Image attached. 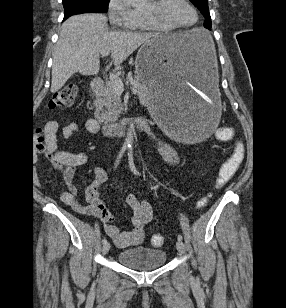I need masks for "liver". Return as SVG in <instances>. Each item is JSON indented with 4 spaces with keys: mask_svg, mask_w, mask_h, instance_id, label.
Returning a JSON list of instances; mask_svg holds the SVG:
<instances>
[{
    "mask_svg": "<svg viewBox=\"0 0 286 308\" xmlns=\"http://www.w3.org/2000/svg\"><path fill=\"white\" fill-rule=\"evenodd\" d=\"M167 36L185 41L183 32L173 34L108 31L107 17L102 14H80L69 17L61 26L53 55L52 93L61 89L76 72L95 75L99 72L102 51H110L114 66L121 64L143 43Z\"/></svg>",
    "mask_w": 286,
    "mask_h": 308,
    "instance_id": "obj_1",
    "label": "liver"
}]
</instances>
